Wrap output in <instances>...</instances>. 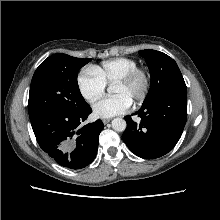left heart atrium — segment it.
<instances>
[{
  "label": "left heart atrium",
  "mask_w": 220,
  "mask_h": 220,
  "mask_svg": "<svg viewBox=\"0 0 220 220\" xmlns=\"http://www.w3.org/2000/svg\"><path fill=\"white\" fill-rule=\"evenodd\" d=\"M132 101L124 95L102 98L93 104V113L98 118H110L130 109Z\"/></svg>",
  "instance_id": "obj_1"
}]
</instances>
